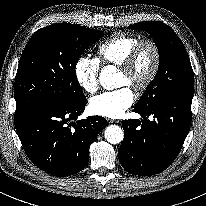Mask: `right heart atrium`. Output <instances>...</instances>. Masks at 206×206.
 I'll return each instance as SVG.
<instances>
[{
  "label": "right heart atrium",
  "mask_w": 206,
  "mask_h": 206,
  "mask_svg": "<svg viewBox=\"0 0 206 206\" xmlns=\"http://www.w3.org/2000/svg\"><path fill=\"white\" fill-rule=\"evenodd\" d=\"M100 64L98 60L81 56L74 68V75L77 84L86 94H94L99 86Z\"/></svg>",
  "instance_id": "obj_1"
}]
</instances>
